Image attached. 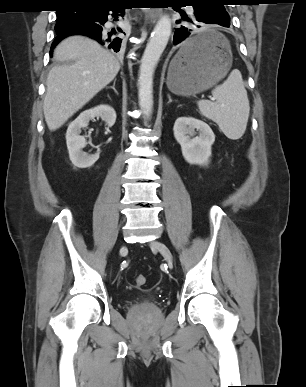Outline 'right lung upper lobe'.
Here are the masks:
<instances>
[{"label":"right lung upper lobe","instance_id":"obj_1","mask_svg":"<svg viewBox=\"0 0 306 387\" xmlns=\"http://www.w3.org/2000/svg\"><path fill=\"white\" fill-rule=\"evenodd\" d=\"M60 1L62 4L61 7H63L62 9H67L76 5L90 7V8L105 7V6L115 4L119 0H60Z\"/></svg>","mask_w":306,"mask_h":387}]
</instances>
